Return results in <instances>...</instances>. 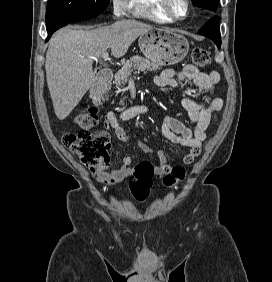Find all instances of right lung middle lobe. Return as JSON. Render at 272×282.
<instances>
[{
  "mask_svg": "<svg viewBox=\"0 0 272 282\" xmlns=\"http://www.w3.org/2000/svg\"><path fill=\"white\" fill-rule=\"evenodd\" d=\"M110 0H48L46 22L84 11L102 12Z\"/></svg>",
  "mask_w": 272,
  "mask_h": 282,
  "instance_id": "obj_1",
  "label": "right lung middle lobe"
}]
</instances>
